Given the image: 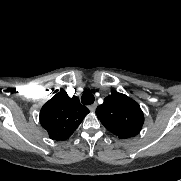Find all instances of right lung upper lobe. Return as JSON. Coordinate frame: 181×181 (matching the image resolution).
<instances>
[{"mask_svg": "<svg viewBox=\"0 0 181 181\" xmlns=\"http://www.w3.org/2000/svg\"><path fill=\"white\" fill-rule=\"evenodd\" d=\"M89 109L80 104L78 97H69L60 90L40 111V123L51 139H68L80 125Z\"/></svg>", "mask_w": 181, "mask_h": 181, "instance_id": "obj_1", "label": "right lung upper lobe"}]
</instances>
